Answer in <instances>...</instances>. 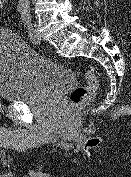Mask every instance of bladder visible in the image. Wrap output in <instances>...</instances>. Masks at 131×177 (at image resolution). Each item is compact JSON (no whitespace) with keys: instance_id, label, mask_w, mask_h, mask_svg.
<instances>
[{"instance_id":"obj_1","label":"bladder","mask_w":131,"mask_h":177,"mask_svg":"<svg viewBox=\"0 0 131 177\" xmlns=\"http://www.w3.org/2000/svg\"><path fill=\"white\" fill-rule=\"evenodd\" d=\"M75 83L70 68L35 53L13 32H0L1 100L27 103L50 99Z\"/></svg>"}]
</instances>
